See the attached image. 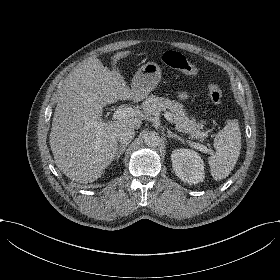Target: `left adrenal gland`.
<instances>
[{
  "label": "left adrenal gland",
  "instance_id": "a2214340",
  "mask_svg": "<svg viewBox=\"0 0 280 280\" xmlns=\"http://www.w3.org/2000/svg\"><path fill=\"white\" fill-rule=\"evenodd\" d=\"M167 137L180 140L182 143H184V140L180 136H178L177 134L173 133L171 130H167Z\"/></svg>",
  "mask_w": 280,
  "mask_h": 280
}]
</instances>
